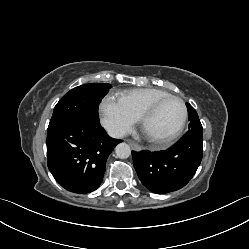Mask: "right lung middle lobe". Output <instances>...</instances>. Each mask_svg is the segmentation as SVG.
<instances>
[{
  "mask_svg": "<svg viewBox=\"0 0 249 249\" xmlns=\"http://www.w3.org/2000/svg\"><path fill=\"white\" fill-rule=\"evenodd\" d=\"M110 84H85L67 92L54 107L48 132L77 121H98L97 108Z\"/></svg>",
  "mask_w": 249,
  "mask_h": 249,
  "instance_id": "dd1d6c3e",
  "label": "right lung middle lobe"
}]
</instances>
